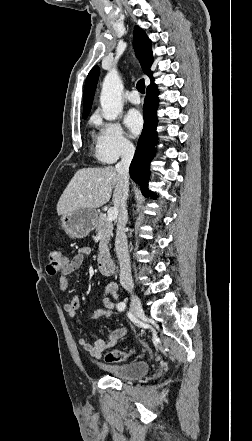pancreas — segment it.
Wrapping results in <instances>:
<instances>
[{"instance_id":"1","label":"pancreas","mask_w":252,"mask_h":441,"mask_svg":"<svg viewBox=\"0 0 252 441\" xmlns=\"http://www.w3.org/2000/svg\"><path fill=\"white\" fill-rule=\"evenodd\" d=\"M94 228L96 229V233L100 234L98 262H102L110 255L108 244L110 237L113 235V224L107 221L104 214H100L99 217H97Z\"/></svg>"}]
</instances>
